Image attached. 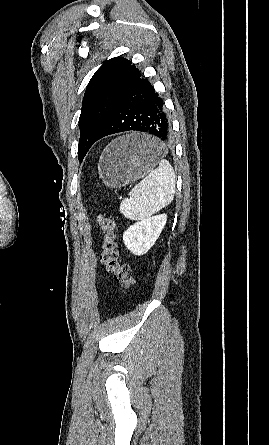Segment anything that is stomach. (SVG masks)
<instances>
[{"mask_svg": "<svg viewBox=\"0 0 269 445\" xmlns=\"http://www.w3.org/2000/svg\"><path fill=\"white\" fill-rule=\"evenodd\" d=\"M162 151V144L150 137L139 134L120 137L100 156L99 177L108 187H123L150 172Z\"/></svg>", "mask_w": 269, "mask_h": 445, "instance_id": "stomach-1", "label": "stomach"}]
</instances>
